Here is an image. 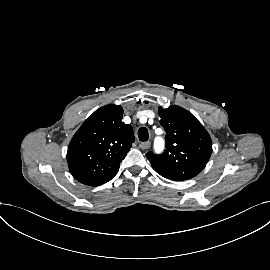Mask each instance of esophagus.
<instances>
[{"label": "esophagus", "mask_w": 270, "mask_h": 270, "mask_svg": "<svg viewBox=\"0 0 270 270\" xmlns=\"http://www.w3.org/2000/svg\"><path fill=\"white\" fill-rule=\"evenodd\" d=\"M150 145H151V143L150 142H142V143H140V148L141 149H143V150H147V149H149L150 148Z\"/></svg>", "instance_id": "34e87169"}]
</instances>
